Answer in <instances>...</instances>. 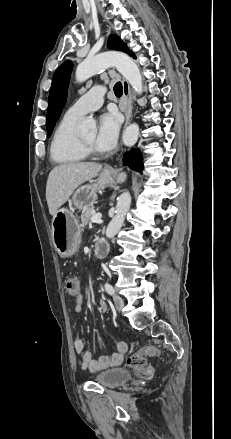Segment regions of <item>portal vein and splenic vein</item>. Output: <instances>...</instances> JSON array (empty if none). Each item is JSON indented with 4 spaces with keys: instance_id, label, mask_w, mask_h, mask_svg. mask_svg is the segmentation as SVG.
<instances>
[{
    "instance_id": "portal-vein-and-splenic-vein-1",
    "label": "portal vein and splenic vein",
    "mask_w": 231,
    "mask_h": 439,
    "mask_svg": "<svg viewBox=\"0 0 231 439\" xmlns=\"http://www.w3.org/2000/svg\"><path fill=\"white\" fill-rule=\"evenodd\" d=\"M101 217H102L101 214H94V215L91 217V222H92V223H99V222L101 221Z\"/></svg>"
}]
</instances>
